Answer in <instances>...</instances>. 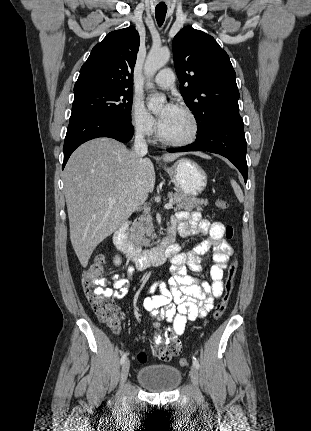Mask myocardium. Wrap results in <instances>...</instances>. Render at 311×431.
I'll return each mask as SVG.
<instances>
[{"label":"myocardium","mask_w":311,"mask_h":431,"mask_svg":"<svg viewBox=\"0 0 311 431\" xmlns=\"http://www.w3.org/2000/svg\"><path fill=\"white\" fill-rule=\"evenodd\" d=\"M180 110H182L183 112H185L187 115L190 116V118L193 120L194 123V132L193 134L184 140H169L163 137V134L161 132V126L158 127V140L168 146H173V147H185L188 145L193 144L194 142H196V140L199 138L200 133H201V121L198 117V115L196 114V112L190 108L189 106L183 105L180 106L179 108Z\"/></svg>","instance_id":"myocardium-1"}]
</instances>
